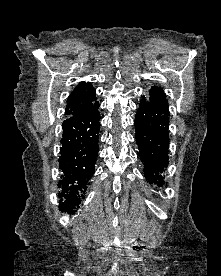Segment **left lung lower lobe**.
Masks as SVG:
<instances>
[{
    "mask_svg": "<svg viewBox=\"0 0 221 276\" xmlns=\"http://www.w3.org/2000/svg\"><path fill=\"white\" fill-rule=\"evenodd\" d=\"M136 142L150 184L162 186L168 166L169 111L143 97L135 116Z\"/></svg>",
    "mask_w": 221,
    "mask_h": 276,
    "instance_id": "1",
    "label": "left lung lower lobe"
}]
</instances>
